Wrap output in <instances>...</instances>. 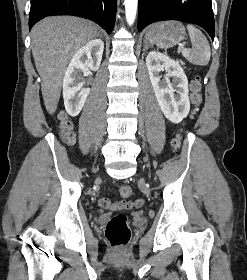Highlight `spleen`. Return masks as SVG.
<instances>
[{
	"label": "spleen",
	"instance_id": "obj_1",
	"mask_svg": "<svg viewBox=\"0 0 247 280\" xmlns=\"http://www.w3.org/2000/svg\"><path fill=\"white\" fill-rule=\"evenodd\" d=\"M192 48H183L182 55L194 65H207L210 61L211 49L205 35L196 27L187 25Z\"/></svg>",
	"mask_w": 247,
	"mask_h": 280
}]
</instances>
